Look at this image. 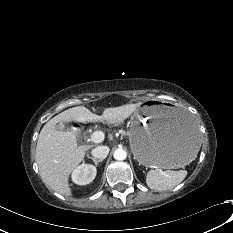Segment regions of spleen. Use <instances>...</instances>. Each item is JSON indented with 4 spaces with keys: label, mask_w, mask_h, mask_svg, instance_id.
<instances>
[{
    "label": "spleen",
    "mask_w": 233,
    "mask_h": 233,
    "mask_svg": "<svg viewBox=\"0 0 233 233\" xmlns=\"http://www.w3.org/2000/svg\"><path fill=\"white\" fill-rule=\"evenodd\" d=\"M185 170H150L146 176V183L149 188L157 191H165L177 186L185 178Z\"/></svg>",
    "instance_id": "obj_1"
}]
</instances>
